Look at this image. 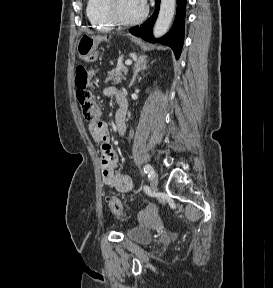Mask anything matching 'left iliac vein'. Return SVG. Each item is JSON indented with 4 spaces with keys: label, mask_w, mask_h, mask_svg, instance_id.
Returning a JSON list of instances; mask_svg holds the SVG:
<instances>
[{
    "label": "left iliac vein",
    "mask_w": 273,
    "mask_h": 288,
    "mask_svg": "<svg viewBox=\"0 0 273 288\" xmlns=\"http://www.w3.org/2000/svg\"><path fill=\"white\" fill-rule=\"evenodd\" d=\"M158 187V175L154 172L151 178V188L155 190Z\"/></svg>",
    "instance_id": "1"
}]
</instances>
